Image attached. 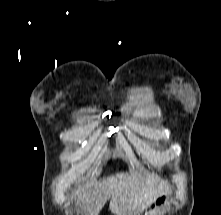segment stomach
<instances>
[{
	"instance_id": "0dacf381",
	"label": "stomach",
	"mask_w": 221,
	"mask_h": 215,
	"mask_svg": "<svg viewBox=\"0 0 221 215\" xmlns=\"http://www.w3.org/2000/svg\"><path fill=\"white\" fill-rule=\"evenodd\" d=\"M169 193H160L154 200L141 211L140 215H158V213L169 205Z\"/></svg>"
}]
</instances>
